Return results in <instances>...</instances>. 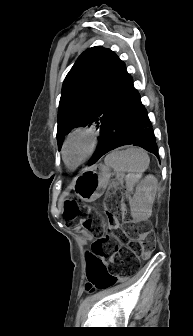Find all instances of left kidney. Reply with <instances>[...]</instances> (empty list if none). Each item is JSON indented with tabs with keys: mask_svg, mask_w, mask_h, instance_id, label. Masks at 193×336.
Masks as SVG:
<instances>
[{
	"mask_svg": "<svg viewBox=\"0 0 193 336\" xmlns=\"http://www.w3.org/2000/svg\"><path fill=\"white\" fill-rule=\"evenodd\" d=\"M157 188L158 181L153 175L146 176L140 182L130 202L131 216L135 221H145L151 216Z\"/></svg>",
	"mask_w": 193,
	"mask_h": 336,
	"instance_id": "obj_1",
	"label": "left kidney"
}]
</instances>
